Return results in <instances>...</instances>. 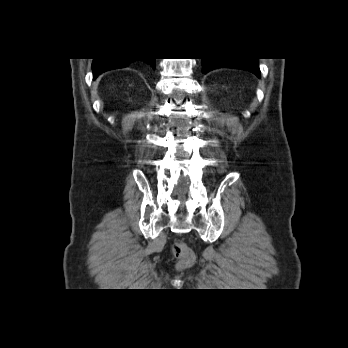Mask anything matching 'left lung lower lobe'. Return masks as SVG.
I'll use <instances>...</instances> for the list:
<instances>
[{
    "label": "left lung lower lobe",
    "mask_w": 348,
    "mask_h": 348,
    "mask_svg": "<svg viewBox=\"0 0 348 348\" xmlns=\"http://www.w3.org/2000/svg\"><path fill=\"white\" fill-rule=\"evenodd\" d=\"M203 73H207L215 68L219 67H231L237 69H243L254 73L257 77H260V70L258 61L255 58H203Z\"/></svg>",
    "instance_id": "0a47b994"
}]
</instances>
